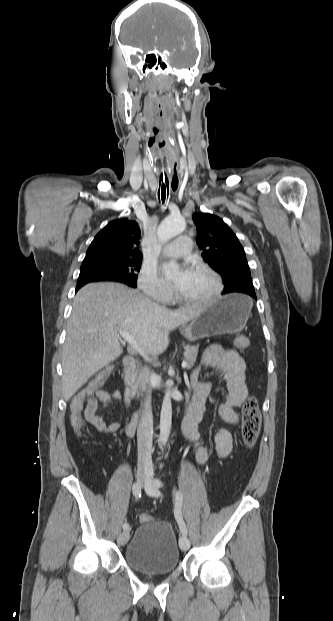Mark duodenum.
I'll use <instances>...</instances> for the list:
<instances>
[{"label": "duodenum", "instance_id": "obj_1", "mask_svg": "<svg viewBox=\"0 0 333 621\" xmlns=\"http://www.w3.org/2000/svg\"><path fill=\"white\" fill-rule=\"evenodd\" d=\"M136 367V361L133 357H126L123 360V384H124V402L127 407L130 405V400L133 394V373ZM199 421L196 414L187 413L183 424L194 426ZM137 429V420L128 416L124 424L125 432L132 436Z\"/></svg>", "mask_w": 333, "mask_h": 621}]
</instances>
